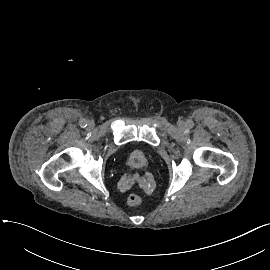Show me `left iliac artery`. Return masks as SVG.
<instances>
[{
  "label": "left iliac artery",
  "mask_w": 270,
  "mask_h": 270,
  "mask_svg": "<svg viewBox=\"0 0 270 270\" xmlns=\"http://www.w3.org/2000/svg\"><path fill=\"white\" fill-rule=\"evenodd\" d=\"M193 125H194V124H193V122H192V121H189V122L187 123V127H188V128H192V127H193Z\"/></svg>",
  "instance_id": "44dca946"
}]
</instances>
